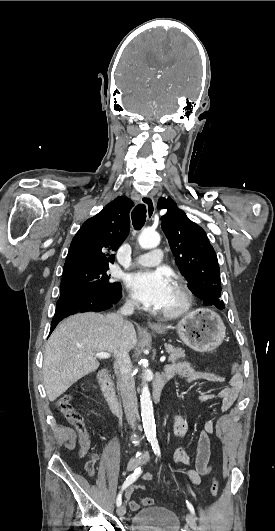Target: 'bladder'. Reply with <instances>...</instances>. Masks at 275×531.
I'll list each match as a JSON object with an SVG mask.
<instances>
[{"mask_svg": "<svg viewBox=\"0 0 275 531\" xmlns=\"http://www.w3.org/2000/svg\"><path fill=\"white\" fill-rule=\"evenodd\" d=\"M132 522L131 531H178L180 527L174 511L157 506L136 512Z\"/></svg>", "mask_w": 275, "mask_h": 531, "instance_id": "bladder-1", "label": "bladder"}]
</instances>
